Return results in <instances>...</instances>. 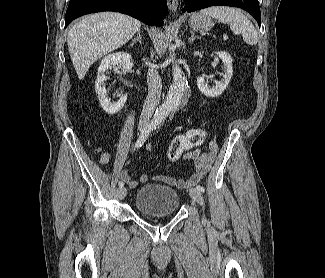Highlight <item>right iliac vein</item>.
<instances>
[{"instance_id":"obj_1","label":"right iliac vein","mask_w":325,"mask_h":278,"mask_svg":"<svg viewBox=\"0 0 325 278\" xmlns=\"http://www.w3.org/2000/svg\"><path fill=\"white\" fill-rule=\"evenodd\" d=\"M117 195L120 199H124L126 196V188L125 187L118 188Z\"/></svg>"}]
</instances>
